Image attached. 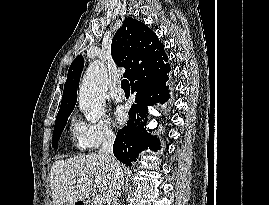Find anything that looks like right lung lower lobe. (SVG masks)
I'll use <instances>...</instances> for the list:
<instances>
[{
	"label": "right lung lower lobe",
	"instance_id": "1",
	"mask_svg": "<svg viewBox=\"0 0 269 205\" xmlns=\"http://www.w3.org/2000/svg\"><path fill=\"white\" fill-rule=\"evenodd\" d=\"M167 80H151L131 88L132 93L136 92L135 104L128 112L130 118L127 125L118 131L113 145L114 155L122 163L131 165L141 150L160 149L158 138L147 133L144 125L147 121V107L155 103L164 104L170 98Z\"/></svg>",
	"mask_w": 269,
	"mask_h": 205
}]
</instances>
